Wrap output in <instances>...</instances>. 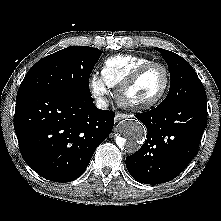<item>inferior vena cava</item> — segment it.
<instances>
[{"label":"inferior vena cava","mask_w":221,"mask_h":221,"mask_svg":"<svg viewBox=\"0 0 221 221\" xmlns=\"http://www.w3.org/2000/svg\"><path fill=\"white\" fill-rule=\"evenodd\" d=\"M108 105H109V102L105 98H98L96 100V106L99 109H106L108 107Z\"/></svg>","instance_id":"inferior-vena-cava-1"}]
</instances>
